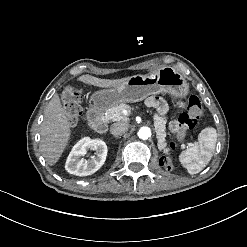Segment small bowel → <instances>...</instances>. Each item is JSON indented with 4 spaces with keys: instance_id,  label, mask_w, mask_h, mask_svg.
<instances>
[{
    "instance_id": "obj_1",
    "label": "small bowel",
    "mask_w": 247,
    "mask_h": 247,
    "mask_svg": "<svg viewBox=\"0 0 247 247\" xmlns=\"http://www.w3.org/2000/svg\"><path fill=\"white\" fill-rule=\"evenodd\" d=\"M147 107L156 110L160 115H164L168 110L167 102L158 96H152L149 97L146 100ZM180 106H183L182 103H180Z\"/></svg>"
}]
</instances>
